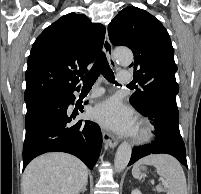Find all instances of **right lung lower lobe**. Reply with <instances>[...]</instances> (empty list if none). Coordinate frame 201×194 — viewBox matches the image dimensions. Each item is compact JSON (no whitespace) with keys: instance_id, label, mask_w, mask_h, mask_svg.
Returning a JSON list of instances; mask_svg holds the SVG:
<instances>
[{"instance_id":"obj_1","label":"right lung lower lobe","mask_w":201,"mask_h":194,"mask_svg":"<svg viewBox=\"0 0 201 194\" xmlns=\"http://www.w3.org/2000/svg\"><path fill=\"white\" fill-rule=\"evenodd\" d=\"M75 90L79 88H37L25 92L23 169L36 156L55 151L75 155L90 169L96 163L102 144L99 126L89 120L69 124L72 117H68L67 109L75 100Z\"/></svg>"}]
</instances>
